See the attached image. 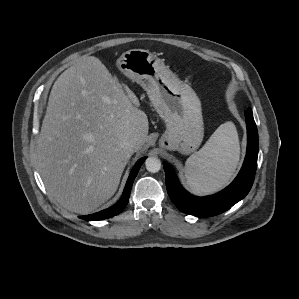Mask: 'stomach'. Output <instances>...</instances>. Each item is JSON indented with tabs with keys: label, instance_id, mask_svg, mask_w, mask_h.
Instances as JSON below:
<instances>
[{
	"label": "stomach",
	"instance_id": "stomach-1",
	"mask_svg": "<svg viewBox=\"0 0 299 299\" xmlns=\"http://www.w3.org/2000/svg\"><path fill=\"white\" fill-rule=\"evenodd\" d=\"M117 66L142 86L166 122V131L159 140L160 147L183 154L194 152L204 136L201 102L194 90L148 50L124 52L118 58Z\"/></svg>",
	"mask_w": 299,
	"mask_h": 299
}]
</instances>
